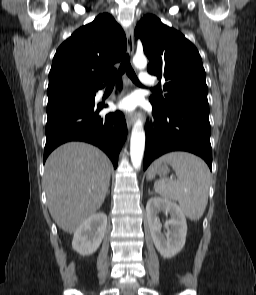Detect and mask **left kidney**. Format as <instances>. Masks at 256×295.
I'll return each instance as SVG.
<instances>
[{
	"instance_id": "5707ae66",
	"label": "left kidney",
	"mask_w": 256,
	"mask_h": 295,
	"mask_svg": "<svg viewBox=\"0 0 256 295\" xmlns=\"http://www.w3.org/2000/svg\"><path fill=\"white\" fill-rule=\"evenodd\" d=\"M160 212L170 214L171 217L164 225L166 235L161 232ZM146 214L152 240L160 255L172 258L178 254L185 245L187 234V222L182 209L175 202L155 196L148 200Z\"/></svg>"
}]
</instances>
